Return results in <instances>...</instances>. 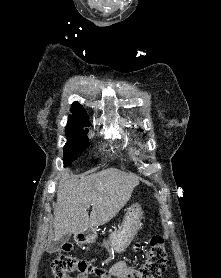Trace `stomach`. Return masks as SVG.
<instances>
[{
	"mask_svg": "<svg viewBox=\"0 0 221 278\" xmlns=\"http://www.w3.org/2000/svg\"><path fill=\"white\" fill-rule=\"evenodd\" d=\"M142 217L143 211L140 204L134 203L127 208L121 229L109 236L108 245L116 253L124 252L133 241L141 226ZM93 240L94 238L92 236H87L81 241H84L85 243H92Z\"/></svg>",
	"mask_w": 221,
	"mask_h": 278,
	"instance_id": "obj_1",
	"label": "stomach"
}]
</instances>
